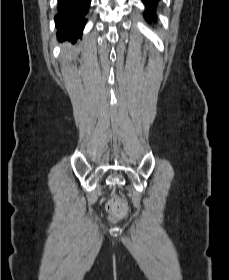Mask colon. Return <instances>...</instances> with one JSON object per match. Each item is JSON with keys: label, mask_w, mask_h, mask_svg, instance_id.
Returning <instances> with one entry per match:
<instances>
[{"label": "colon", "mask_w": 229, "mask_h": 280, "mask_svg": "<svg viewBox=\"0 0 229 280\" xmlns=\"http://www.w3.org/2000/svg\"><path fill=\"white\" fill-rule=\"evenodd\" d=\"M110 213L116 217H125L129 214V205L121 197L113 195L108 202Z\"/></svg>", "instance_id": "5ec220e1"}]
</instances>
